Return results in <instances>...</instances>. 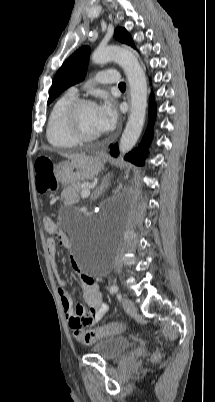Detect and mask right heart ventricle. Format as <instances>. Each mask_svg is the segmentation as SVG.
<instances>
[{"instance_id":"1","label":"right heart ventricle","mask_w":215,"mask_h":402,"mask_svg":"<svg viewBox=\"0 0 215 402\" xmlns=\"http://www.w3.org/2000/svg\"><path fill=\"white\" fill-rule=\"evenodd\" d=\"M77 98V94L69 90L54 102L50 110L46 127V137L49 144L55 148H72L78 143L69 135L64 123V115L67 107Z\"/></svg>"}]
</instances>
